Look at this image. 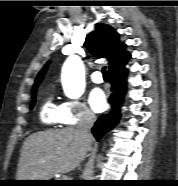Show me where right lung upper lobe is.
Returning a JSON list of instances; mask_svg holds the SVG:
<instances>
[{"label": "right lung upper lobe", "instance_id": "obj_1", "mask_svg": "<svg viewBox=\"0 0 178 186\" xmlns=\"http://www.w3.org/2000/svg\"><path fill=\"white\" fill-rule=\"evenodd\" d=\"M84 45L92 55L107 58L109 70L121 67L131 58V55L125 51L126 45L120 42L119 34L111 26L103 23L95 25V30L86 36ZM46 68L47 65L38 74L33 93L36 92Z\"/></svg>", "mask_w": 178, "mask_h": 186}]
</instances>
